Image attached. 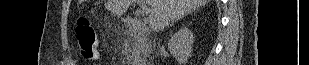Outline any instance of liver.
<instances>
[{"label":"liver","mask_w":309,"mask_h":65,"mask_svg":"<svg viewBox=\"0 0 309 65\" xmlns=\"http://www.w3.org/2000/svg\"><path fill=\"white\" fill-rule=\"evenodd\" d=\"M134 0H107L105 8L117 16L123 15ZM150 6L149 26L153 31L164 29L175 21L204 6L208 0H145Z\"/></svg>","instance_id":"obj_1"}]
</instances>
